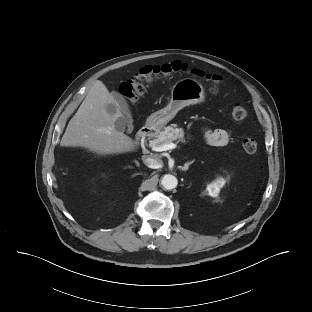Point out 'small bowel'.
Wrapping results in <instances>:
<instances>
[{"label": "small bowel", "mask_w": 312, "mask_h": 312, "mask_svg": "<svg viewBox=\"0 0 312 312\" xmlns=\"http://www.w3.org/2000/svg\"><path fill=\"white\" fill-rule=\"evenodd\" d=\"M203 137L207 143L213 146L226 145L231 137V131L229 129H203Z\"/></svg>", "instance_id": "1"}]
</instances>
